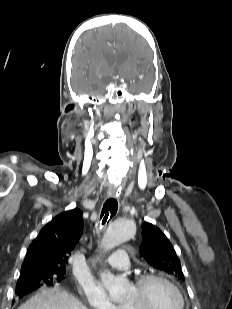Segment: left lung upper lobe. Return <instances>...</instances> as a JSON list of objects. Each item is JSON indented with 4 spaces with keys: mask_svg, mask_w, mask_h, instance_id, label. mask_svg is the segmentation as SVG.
<instances>
[{
    "mask_svg": "<svg viewBox=\"0 0 232 309\" xmlns=\"http://www.w3.org/2000/svg\"><path fill=\"white\" fill-rule=\"evenodd\" d=\"M141 255L151 266L184 279L181 263L165 234L150 223L142 225Z\"/></svg>",
    "mask_w": 232,
    "mask_h": 309,
    "instance_id": "5c2ea615",
    "label": "left lung upper lobe"
}]
</instances>
